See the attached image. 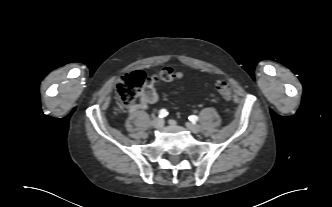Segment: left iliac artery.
<instances>
[{
	"instance_id": "obj_1",
	"label": "left iliac artery",
	"mask_w": 332,
	"mask_h": 207,
	"mask_svg": "<svg viewBox=\"0 0 332 207\" xmlns=\"http://www.w3.org/2000/svg\"><path fill=\"white\" fill-rule=\"evenodd\" d=\"M189 119L191 120V121H193V122H196V121H198V116H196V115H191L190 117H189Z\"/></svg>"
}]
</instances>
